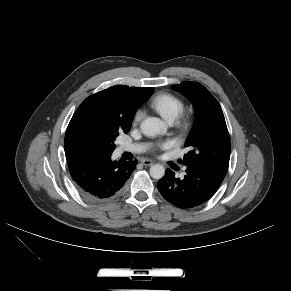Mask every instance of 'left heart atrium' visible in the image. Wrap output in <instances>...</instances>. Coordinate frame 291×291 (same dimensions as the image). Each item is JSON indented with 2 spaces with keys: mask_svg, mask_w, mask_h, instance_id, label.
Wrapping results in <instances>:
<instances>
[{
  "mask_svg": "<svg viewBox=\"0 0 291 291\" xmlns=\"http://www.w3.org/2000/svg\"><path fill=\"white\" fill-rule=\"evenodd\" d=\"M168 145H169V143L165 142V143H162V144L160 145V147L165 148V147H167Z\"/></svg>",
  "mask_w": 291,
  "mask_h": 291,
  "instance_id": "39dd6f15",
  "label": "left heart atrium"
}]
</instances>
